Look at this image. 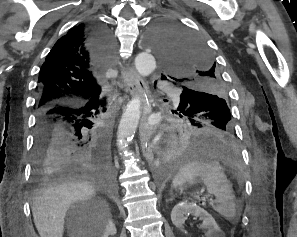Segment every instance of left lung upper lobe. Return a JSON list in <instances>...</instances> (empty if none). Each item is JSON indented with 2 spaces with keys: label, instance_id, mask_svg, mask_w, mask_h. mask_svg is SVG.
Listing matches in <instances>:
<instances>
[{
  "label": "left lung upper lobe",
  "instance_id": "left-lung-upper-lobe-1",
  "mask_svg": "<svg viewBox=\"0 0 297 237\" xmlns=\"http://www.w3.org/2000/svg\"><path fill=\"white\" fill-rule=\"evenodd\" d=\"M148 41L160 57L166 76L183 90L180 96L183 113L193 119L203 115L221 117L227 129H232L226 87L204 41L165 21L150 29ZM166 76L162 74L163 78Z\"/></svg>",
  "mask_w": 297,
  "mask_h": 237
}]
</instances>
